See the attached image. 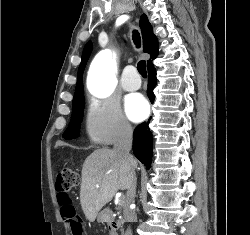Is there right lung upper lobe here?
Listing matches in <instances>:
<instances>
[{
	"instance_id": "cb5924a9",
	"label": "right lung upper lobe",
	"mask_w": 250,
	"mask_h": 235,
	"mask_svg": "<svg viewBox=\"0 0 250 235\" xmlns=\"http://www.w3.org/2000/svg\"><path fill=\"white\" fill-rule=\"evenodd\" d=\"M140 28L143 38V50L144 52L149 53L151 56L148 60L149 63L151 59L158 54V41L156 39V36L153 34L152 26L149 23L148 18L145 14H143L140 18ZM91 48V42H88L84 47L82 61L78 71L77 87L74 97H77L78 95L83 93L82 75L85 64L91 52Z\"/></svg>"
}]
</instances>
